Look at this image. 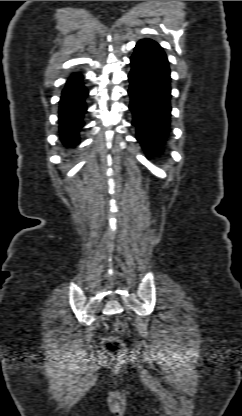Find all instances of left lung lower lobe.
Returning <instances> with one entry per match:
<instances>
[{
    "label": "left lung lower lobe",
    "mask_w": 242,
    "mask_h": 416,
    "mask_svg": "<svg viewBox=\"0 0 242 416\" xmlns=\"http://www.w3.org/2000/svg\"><path fill=\"white\" fill-rule=\"evenodd\" d=\"M128 75L132 125L147 158L157 156L170 132V69L163 49L151 39L140 40L130 59Z\"/></svg>",
    "instance_id": "left-lung-lower-lobe-1"
}]
</instances>
